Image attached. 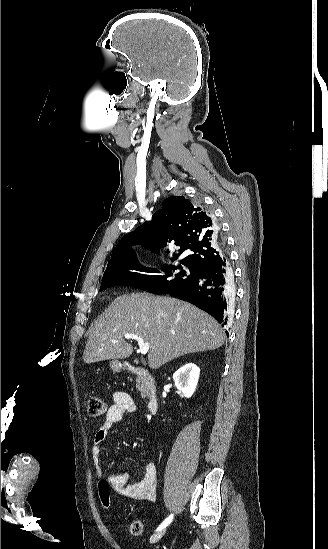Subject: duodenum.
I'll return each mask as SVG.
<instances>
[{
	"mask_svg": "<svg viewBox=\"0 0 328 549\" xmlns=\"http://www.w3.org/2000/svg\"><path fill=\"white\" fill-rule=\"evenodd\" d=\"M128 370L131 373H133V374L137 375L138 377H140L145 382V384H146V386L149 390V395H148V399H147V408H148L150 413H152V414L156 413L157 410H158V407H159V402H158L157 396L154 393V385H153L152 375L146 369H144L142 367L134 366V365H129Z\"/></svg>",
	"mask_w": 328,
	"mask_h": 549,
	"instance_id": "obj_1",
	"label": "duodenum"
}]
</instances>
